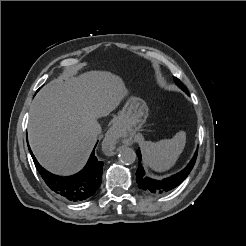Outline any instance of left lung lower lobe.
Returning <instances> with one entry per match:
<instances>
[{
    "mask_svg": "<svg viewBox=\"0 0 246 246\" xmlns=\"http://www.w3.org/2000/svg\"><path fill=\"white\" fill-rule=\"evenodd\" d=\"M136 154L139 159V166L136 171V182L138 183L139 188H141L142 190H144L149 194H154V195L164 194L177 187L189 175L197 158V151H196L189 164L182 171L171 177L159 181V180L151 179L145 175L143 166L141 164L140 149L137 150Z\"/></svg>",
    "mask_w": 246,
    "mask_h": 246,
    "instance_id": "1",
    "label": "left lung lower lobe"
}]
</instances>
